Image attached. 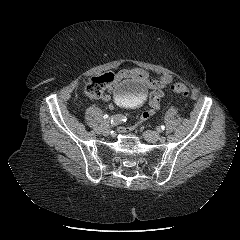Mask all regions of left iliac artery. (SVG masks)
I'll use <instances>...</instances> for the list:
<instances>
[{
	"mask_svg": "<svg viewBox=\"0 0 240 240\" xmlns=\"http://www.w3.org/2000/svg\"><path fill=\"white\" fill-rule=\"evenodd\" d=\"M169 134H170L169 131L166 130V131H164V133L160 132L158 134V137L161 141H164L166 139V137L169 136Z\"/></svg>",
	"mask_w": 240,
	"mask_h": 240,
	"instance_id": "1",
	"label": "left iliac artery"
}]
</instances>
